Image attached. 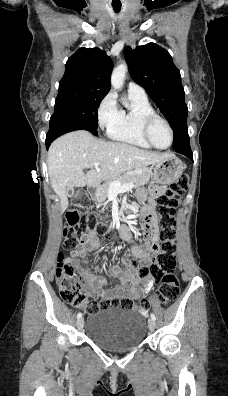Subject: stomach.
<instances>
[{
    "instance_id": "stomach-1",
    "label": "stomach",
    "mask_w": 228,
    "mask_h": 396,
    "mask_svg": "<svg viewBox=\"0 0 228 396\" xmlns=\"http://www.w3.org/2000/svg\"><path fill=\"white\" fill-rule=\"evenodd\" d=\"M184 166L177 157L171 155L166 159L157 162L153 167L148 169L150 177L159 184H170L176 181L182 174ZM141 201L147 199V191L142 190L139 192ZM97 198V194L94 196Z\"/></svg>"
}]
</instances>
